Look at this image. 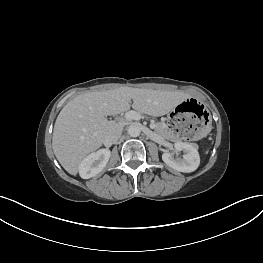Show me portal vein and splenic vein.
Segmentation results:
<instances>
[{
	"instance_id": "1",
	"label": "portal vein and splenic vein",
	"mask_w": 263,
	"mask_h": 263,
	"mask_svg": "<svg viewBox=\"0 0 263 263\" xmlns=\"http://www.w3.org/2000/svg\"><path fill=\"white\" fill-rule=\"evenodd\" d=\"M125 118L126 119H130V120H140L141 119V115H140V113L131 110V111L126 112ZM149 126H150L151 129H155L156 128V125L154 123H151Z\"/></svg>"
}]
</instances>
